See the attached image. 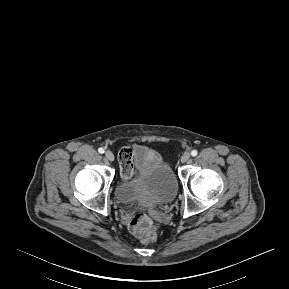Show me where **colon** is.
<instances>
[{
  "label": "colon",
  "instance_id": "1",
  "mask_svg": "<svg viewBox=\"0 0 289 289\" xmlns=\"http://www.w3.org/2000/svg\"><path fill=\"white\" fill-rule=\"evenodd\" d=\"M138 216L142 220L150 219L146 214L144 213H138ZM157 239V233L154 229L147 230L144 235L141 237V242L144 244H149L152 242H155Z\"/></svg>",
  "mask_w": 289,
  "mask_h": 289
}]
</instances>
